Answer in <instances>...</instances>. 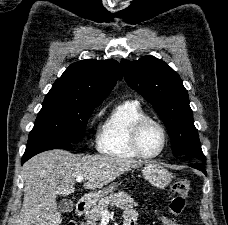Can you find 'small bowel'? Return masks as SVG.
<instances>
[{"instance_id": "c3829d8e", "label": "small bowel", "mask_w": 228, "mask_h": 225, "mask_svg": "<svg viewBox=\"0 0 228 225\" xmlns=\"http://www.w3.org/2000/svg\"><path fill=\"white\" fill-rule=\"evenodd\" d=\"M137 218V214L134 210H127L124 215V220L126 221L127 219H131L133 221V225H135V220ZM160 220L164 225H178L177 222H175L172 219H169L167 217H161ZM125 225V222H124Z\"/></svg>"}]
</instances>
